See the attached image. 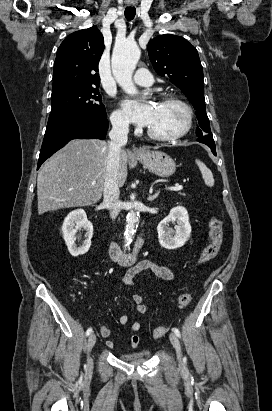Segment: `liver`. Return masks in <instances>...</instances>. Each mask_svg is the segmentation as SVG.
<instances>
[{
	"mask_svg": "<svg viewBox=\"0 0 272 411\" xmlns=\"http://www.w3.org/2000/svg\"><path fill=\"white\" fill-rule=\"evenodd\" d=\"M108 157L106 141H70L46 161L38 173V213L98 202L104 188ZM128 157L127 151L122 150L118 172L120 187L127 178Z\"/></svg>",
	"mask_w": 272,
	"mask_h": 411,
	"instance_id": "obj_1",
	"label": "liver"
}]
</instances>
